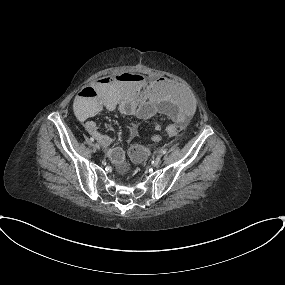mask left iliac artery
<instances>
[{
    "label": "left iliac artery",
    "instance_id": "left-iliac-artery-1",
    "mask_svg": "<svg viewBox=\"0 0 285 285\" xmlns=\"http://www.w3.org/2000/svg\"><path fill=\"white\" fill-rule=\"evenodd\" d=\"M161 153H162V154H165V153H166V149H162V150H161Z\"/></svg>",
    "mask_w": 285,
    "mask_h": 285
}]
</instances>
